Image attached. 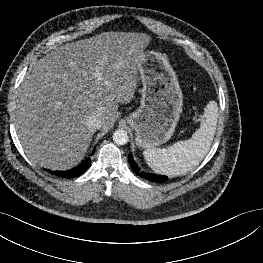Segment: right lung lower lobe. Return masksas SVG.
Listing matches in <instances>:
<instances>
[{"mask_svg": "<svg viewBox=\"0 0 263 263\" xmlns=\"http://www.w3.org/2000/svg\"><path fill=\"white\" fill-rule=\"evenodd\" d=\"M91 164V160L87 159L84 163H82L81 165L71 169V170H67V171H50L53 174L60 176V177H65V178H73V177H78L81 174H83L87 168L89 167V165Z\"/></svg>", "mask_w": 263, "mask_h": 263, "instance_id": "98d812e1", "label": "right lung lower lobe"}]
</instances>
